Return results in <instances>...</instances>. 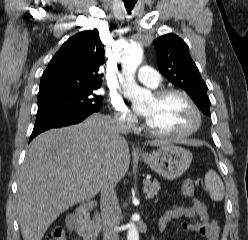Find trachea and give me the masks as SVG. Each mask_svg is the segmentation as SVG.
<instances>
[{
	"instance_id": "obj_1",
	"label": "trachea",
	"mask_w": 248,
	"mask_h": 240,
	"mask_svg": "<svg viewBox=\"0 0 248 240\" xmlns=\"http://www.w3.org/2000/svg\"><path fill=\"white\" fill-rule=\"evenodd\" d=\"M137 0H133V1H124V5L125 8L127 10L128 13H131V10L134 8L135 4H136Z\"/></svg>"
}]
</instances>
